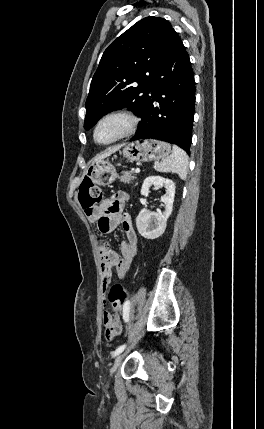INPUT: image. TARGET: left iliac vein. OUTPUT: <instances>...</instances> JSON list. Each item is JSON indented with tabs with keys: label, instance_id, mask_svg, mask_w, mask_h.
I'll return each instance as SVG.
<instances>
[{
	"label": "left iliac vein",
	"instance_id": "1",
	"mask_svg": "<svg viewBox=\"0 0 264 429\" xmlns=\"http://www.w3.org/2000/svg\"><path fill=\"white\" fill-rule=\"evenodd\" d=\"M125 354H126V352H121L120 354L117 355V357L115 359V362H114V364H113V366L111 367V370H110L111 375H113L116 372V370L120 366V364H121V362H122Z\"/></svg>",
	"mask_w": 264,
	"mask_h": 429
}]
</instances>
